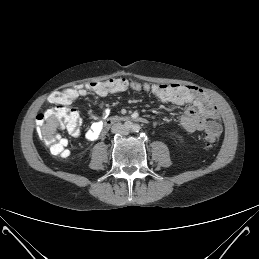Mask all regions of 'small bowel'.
Instances as JSON below:
<instances>
[{"label":"small bowel","mask_w":259,"mask_h":259,"mask_svg":"<svg viewBox=\"0 0 259 259\" xmlns=\"http://www.w3.org/2000/svg\"><path fill=\"white\" fill-rule=\"evenodd\" d=\"M170 103L175 105L190 104L186 107L180 121L182 127L187 132L193 133L196 131H202L210 122L217 123L218 113L216 108L209 103V100L204 93L200 100H189L184 103ZM106 114V112H103V116ZM102 124V120L94 121L85 133L86 138L89 140L97 139L102 133ZM68 154L69 152L67 155Z\"/></svg>","instance_id":"c3829d8e"}]
</instances>
